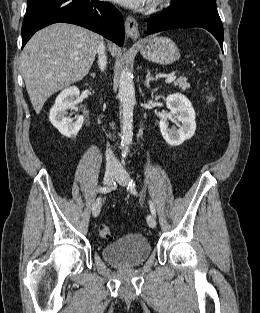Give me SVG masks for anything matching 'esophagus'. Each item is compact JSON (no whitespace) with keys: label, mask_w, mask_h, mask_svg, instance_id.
<instances>
[{"label":"esophagus","mask_w":260,"mask_h":313,"mask_svg":"<svg viewBox=\"0 0 260 313\" xmlns=\"http://www.w3.org/2000/svg\"><path fill=\"white\" fill-rule=\"evenodd\" d=\"M125 31L129 38L136 40L139 37V28L137 21L128 16L125 20Z\"/></svg>","instance_id":"obj_1"}]
</instances>
